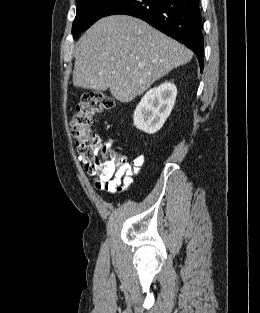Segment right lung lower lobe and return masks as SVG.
I'll return each instance as SVG.
<instances>
[{"instance_id": "1", "label": "right lung lower lobe", "mask_w": 260, "mask_h": 313, "mask_svg": "<svg viewBox=\"0 0 260 313\" xmlns=\"http://www.w3.org/2000/svg\"><path fill=\"white\" fill-rule=\"evenodd\" d=\"M125 14L143 19L190 48L203 70L202 17L199 0H118L103 17Z\"/></svg>"}]
</instances>
